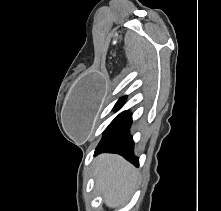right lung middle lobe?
I'll use <instances>...</instances> for the list:
<instances>
[{
  "label": "right lung middle lobe",
  "mask_w": 221,
  "mask_h": 211,
  "mask_svg": "<svg viewBox=\"0 0 221 211\" xmlns=\"http://www.w3.org/2000/svg\"><path fill=\"white\" fill-rule=\"evenodd\" d=\"M124 100H125V97H122V98L116 103V105H115L114 108L119 107V106L124 102ZM118 117H119V115L111 122V124L107 127V129L117 120ZM107 129H106V130H107ZM106 130H105V131H106Z\"/></svg>",
  "instance_id": "1"
}]
</instances>
